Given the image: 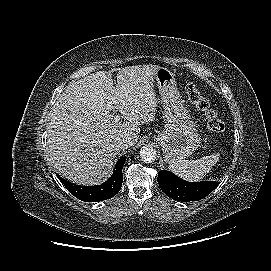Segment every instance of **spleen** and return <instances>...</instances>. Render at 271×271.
<instances>
[{
    "mask_svg": "<svg viewBox=\"0 0 271 271\" xmlns=\"http://www.w3.org/2000/svg\"><path fill=\"white\" fill-rule=\"evenodd\" d=\"M219 153L204 156L197 160H178L171 162L170 170L190 182H197L206 177L215 163L219 160Z\"/></svg>",
    "mask_w": 271,
    "mask_h": 271,
    "instance_id": "3e777b00",
    "label": "spleen"
}]
</instances>
